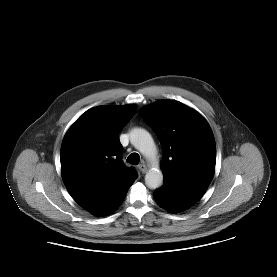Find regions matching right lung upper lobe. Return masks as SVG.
Here are the masks:
<instances>
[{"label":"right lung upper lobe","mask_w":277,"mask_h":277,"mask_svg":"<svg viewBox=\"0 0 277 277\" xmlns=\"http://www.w3.org/2000/svg\"><path fill=\"white\" fill-rule=\"evenodd\" d=\"M135 105L98 106L82 114L66 133L60 153L64 184L73 199L93 212L108 203L129 182L135 170L121 160L120 130Z\"/></svg>","instance_id":"1"}]
</instances>
